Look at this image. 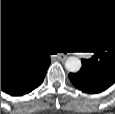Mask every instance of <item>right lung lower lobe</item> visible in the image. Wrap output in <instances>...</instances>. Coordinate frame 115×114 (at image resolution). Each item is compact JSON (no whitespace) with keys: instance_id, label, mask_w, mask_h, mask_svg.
Returning a JSON list of instances; mask_svg holds the SVG:
<instances>
[{"instance_id":"98d812e1","label":"right lung lower lobe","mask_w":115,"mask_h":114,"mask_svg":"<svg viewBox=\"0 0 115 114\" xmlns=\"http://www.w3.org/2000/svg\"><path fill=\"white\" fill-rule=\"evenodd\" d=\"M50 60L34 67L22 76H4L1 90L12 96L28 94L43 82Z\"/></svg>"}]
</instances>
